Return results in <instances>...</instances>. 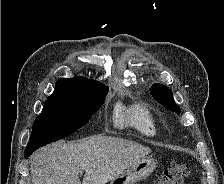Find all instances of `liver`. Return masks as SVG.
<instances>
[{
    "label": "liver",
    "instance_id": "obj_1",
    "mask_svg": "<svg viewBox=\"0 0 224 184\" xmlns=\"http://www.w3.org/2000/svg\"><path fill=\"white\" fill-rule=\"evenodd\" d=\"M151 153L134 141L92 136L77 142L58 141L37 150L30 159L33 184H106L133 162Z\"/></svg>",
    "mask_w": 224,
    "mask_h": 184
}]
</instances>
